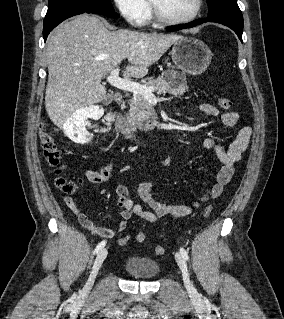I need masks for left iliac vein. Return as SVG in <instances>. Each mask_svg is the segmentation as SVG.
Listing matches in <instances>:
<instances>
[{
    "label": "left iliac vein",
    "instance_id": "left-iliac-vein-1",
    "mask_svg": "<svg viewBox=\"0 0 284 319\" xmlns=\"http://www.w3.org/2000/svg\"><path fill=\"white\" fill-rule=\"evenodd\" d=\"M175 258H176V261H177L179 268L182 271L183 281H184V285H185L187 291L189 293H195V288H194L193 283L191 282L190 277H189L186 259L179 252H177L175 254Z\"/></svg>",
    "mask_w": 284,
    "mask_h": 319
}]
</instances>
